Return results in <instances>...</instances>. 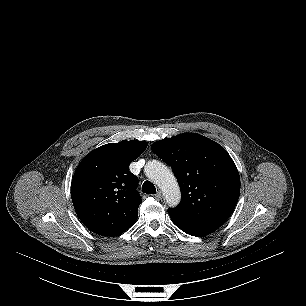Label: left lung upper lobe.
<instances>
[{
    "mask_svg": "<svg viewBox=\"0 0 306 306\" xmlns=\"http://www.w3.org/2000/svg\"><path fill=\"white\" fill-rule=\"evenodd\" d=\"M151 149L172 167L181 188L180 204L168 212L196 225L224 224L240 194V176L227 151L194 133L157 141Z\"/></svg>",
    "mask_w": 306,
    "mask_h": 306,
    "instance_id": "left-lung-upper-lobe-1",
    "label": "left lung upper lobe"
}]
</instances>
